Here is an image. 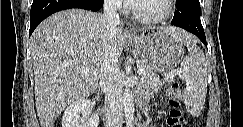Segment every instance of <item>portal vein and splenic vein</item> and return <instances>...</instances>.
<instances>
[{
    "mask_svg": "<svg viewBox=\"0 0 243 127\" xmlns=\"http://www.w3.org/2000/svg\"><path fill=\"white\" fill-rule=\"evenodd\" d=\"M88 73V70H82V74H87ZM145 73V70L143 68H139L138 70V74L139 75H143Z\"/></svg>",
    "mask_w": 243,
    "mask_h": 127,
    "instance_id": "1",
    "label": "portal vein and splenic vein"
}]
</instances>
